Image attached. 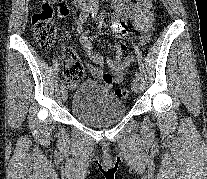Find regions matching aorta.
<instances>
[{"instance_id": "762f6f07", "label": "aorta", "mask_w": 207, "mask_h": 179, "mask_svg": "<svg viewBox=\"0 0 207 179\" xmlns=\"http://www.w3.org/2000/svg\"><path fill=\"white\" fill-rule=\"evenodd\" d=\"M90 5H98L99 0H87Z\"/></svg>"}]
</instances>
